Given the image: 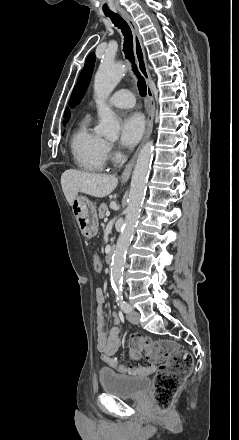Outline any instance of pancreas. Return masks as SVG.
Segmentation results:
<instances>
[{
  "mask_svg": "<svg viewBox=\"0 0 239 440\" xmlns=\"http://www.w3.org/2000/svg\"><path fill=\"white\" fill-rule=\"evenodd\" d=\"M106 212H108L107 204H100V206L98 208V216H99L100 220H102V218H105Z\"/></svg>",
  "mask_w": 239,
  "mask_h": 440,
  "instance_id": "pancreas-1",
  "label": "pancreas"
}]
</instances>
